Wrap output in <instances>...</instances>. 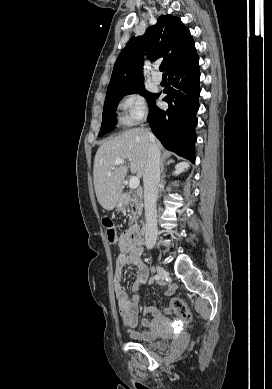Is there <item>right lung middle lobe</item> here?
Here are the masks:
<instances>
[{
    "label": "right lung middle lobe",
    "instance_id": "right-lung-middle-lobe-1",
    "mask_svg": "<svg viewBox=\"0 0 272 389\" xmlns=\"http://www.w3.org/2000/svg\"><path fill=\"white\" fill-rule=\"evenodd\" d=\"M135 93H139L140 95L144 96L147 99L149 105L155 100L157 95L144 90V84H139L107 94L103 109L102 125L98 136H103L104 134L108 133L116 125V108L120 99L125 95Z\"/></svg>",
    "mask_w": 272,
    "mask_h": 389
}]
</instances>
